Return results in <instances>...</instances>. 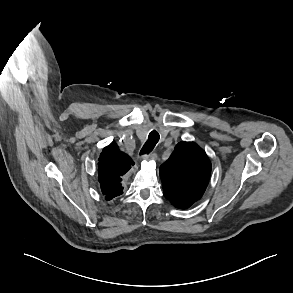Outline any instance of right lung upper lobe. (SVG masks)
<instances>
[{
    "instance_id": "right-lung-upper-lobe-1",
    "label": "right lung upper lobe",
    "mask_w": 293,
    "mask_h": 293,
    "mask_svg": "<svg viewBox=\"0 0 293 293\" xmlns=\"http://www.w3.org/2000/svg\"><path fill=\"white\" fill-rule=\"evenodd\" d=\"M132 165V159L121 152L116 144H110L103 149L98 162V180L107 200L123 193L121 181Z\"/></svg>"
}]
</instances>
